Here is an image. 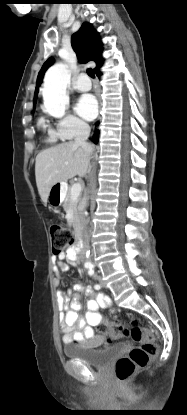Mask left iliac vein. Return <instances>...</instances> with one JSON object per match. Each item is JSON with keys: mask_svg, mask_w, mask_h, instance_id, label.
Masks as SVG:
<instances>
[{"mask_svg": "<svg viewBox=\"0 0 187 415\" xmlns=\"http://www.w3.org/2000/svg\"><path fill=\"white\" fill-rule=\"evenodd\" d=\"M97 279H98L101 287H104V283H103L102 277L99 275V276H97Z\"/></svg>", "mask_w": 187, "mask_h": 415, "instance_id": "1", "label": "left iliac vein"}]
</instances>
